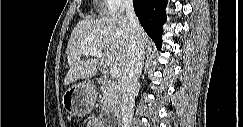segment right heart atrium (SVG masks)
<instances>
[{
    "label": "right heart atrium",
    "instance_id": "right-heart-atrium-1",
    "mask_svg": "<svg viewBox=\"0 0 243 127\" xmlns=\"http://www.w3.org/2000/svg\"><path fill=\"white\" fill-rule=\"evenodd\" d=\"M107 12L111 15L121 14L131 5L129 0H105Z\"/></svg>",
    "mask_w": 243,
    "mask_h": 127
}]
</instances>
